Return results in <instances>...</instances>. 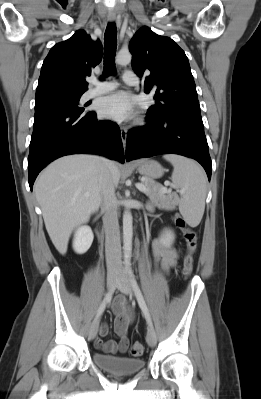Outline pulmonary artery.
<instances>
[{
	"instance_id": "e3ab8cb5",
	"label": "pulmonary artery",
	"mask_w": 261,
	"mask_h": 399,
	"mask_svg": "<svg viewBox=\"0 0 261 399\" xmlns=\"http://www.w3.org/2000/svg\"><path fill=\"white\" fill-rule=\"evenodd\" d=\"M123 81L128 85H134L138 83L135 73L131 70L124 72ZM116 87H117V82L114 81L100 82L97 80H92V86L85 93V98L90 99L95 96L111 92Z\"/></svg>"
}]
</instances>
